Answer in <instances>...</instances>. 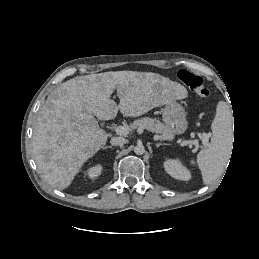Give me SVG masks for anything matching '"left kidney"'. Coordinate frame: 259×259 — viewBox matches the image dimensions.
Masks as SVG:
<instances>
[{"label": "left kidney", "instance_id": "obj_1", "mask_svg": "<svg viewBox=\"0 0 259 259\" xmlns=\"http://www.w3.org/2000/svg\"><path fill=\"white\" fill-rule=\"evenodd\" d=\"M165 171L173 178L188 181L191 179L190 171L178 159H168L163 164Z\"/></svg>", "mask_w": 259, "mask_h": 259}]
</instances>
